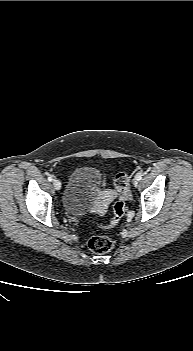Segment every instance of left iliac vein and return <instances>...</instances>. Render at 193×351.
<instances>
[{"instance_id":"left-iliac-vein-1","label":"left iliac vein","mask_w":193,"mask_h":351,"mask_svg":"<svg viewBox=\"0 0 193 351\" xmlns=\"http://www.w3.org/2000/svg\"><path fill=\"white\" fill-rule=\"evenodd\" d=\"M133 185H134L135 187H137L138 181H137L136 179L133 181Z\"/></svg>"}]
</instances>
